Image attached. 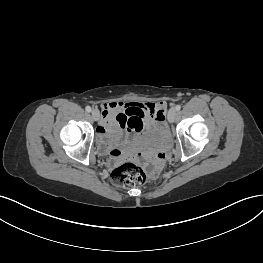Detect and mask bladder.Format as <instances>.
I'll return each instance as SVG.
<instances>
[{"label": "bladder", "instance_id": "31cf9c89", "mask_svg": "<svg viewBox=\"0 0 263 263\" xmlns=\"http://www.w3.org/2000/svg\"><path fill=\"white\" fill-rule=\"evenodd\" d=\"M168 140V131L164 125H156L142 137V143L146 145L157 146L166 143Z\"/></svg>", "mask_w": 263, "mask_h": 263}]
</instances>
